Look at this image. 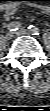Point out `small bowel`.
I'll return each mask as SVG.
<instances>
[{
  "instance_id": "obj_1",
  "label": "small bowel",
  "mask_w": 50,
  "mask_h": 111,
  "mask_svg": "<svg viewBox=\"0 0 50 111\" xmlns=\"http://www.w3.org/2000/svg\"><path fill=\"white\" fill-rule=\"evenodd\" d=\"M43 14H48L47 11H42ZM15 15V8H8L6 9V12H5V19L9 20L11 19L13 16Z\"/></svg>"
}]
</instances>
